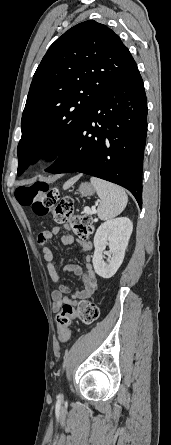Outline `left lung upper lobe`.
I'll list each match as a JSON object with an SVG mask.
<instances>
[{
    "mask_svg": "<svg viewBox=\"0 0 171 445\" xmlns=\"http://www.w3.org/2000/svg\"><path fill=\"white\" fill-rule=\"evenodd\" d=\"M136 67L119 36L96 21L79 23L60 36L29 89L17 148L18 175L40 157L59 156L89 107Z\"/></svg>",
    "mask_w": 171,
    "mask_h": 445,
    "instance_id": "1",
    "label": "left lung upper lobe"
}]
</instances>
